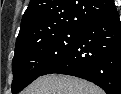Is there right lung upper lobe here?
Returning <instances> with one entry per match:
<instances>
[{"instance_id": "1", "label": "right lung upper lobe", "mask_w": 121, "mask_h": 94, "mask_svg": "<svg viewBox=\"0 0 121 94\" xmlns=\"http://www.w3.org/2000/svg\"><path fill=\"white\" fill-rule=\"evenodd\" d=\"M114 6L113 0H31L22 17L16 44L34 33L79 30Z\"/></svg>"}]
</instances>
